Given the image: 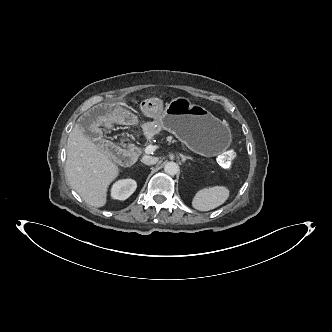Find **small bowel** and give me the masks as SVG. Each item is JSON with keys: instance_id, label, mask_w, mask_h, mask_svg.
Wrapping results in <instances>:
<instances>
[{"instance_id": "1", "label": "small bowel", "mask_w": 332, "mask_h": 332, "mask_svg": "<svg viewBox=\"0 0 332 332\" xmlns=\"http://www.w3.org/2000/svg\"><path fill=\"white\" fill-rule=\"evenodd\" d=\"M140 109L144 113H148L152 119L161 116L164 103L160 99L147 98L140 102ZM106 123L107 128L113 126L135 127L138 124V117L135 114H129V111L122 106L113 103L96 102L91 105L89 111L80 114L78 118V126L82 131L85 140L96 142L103 135L102 123Z\"/></svg>"}]
</instances>
